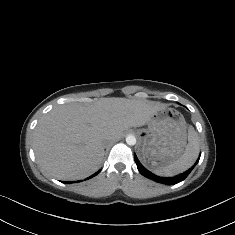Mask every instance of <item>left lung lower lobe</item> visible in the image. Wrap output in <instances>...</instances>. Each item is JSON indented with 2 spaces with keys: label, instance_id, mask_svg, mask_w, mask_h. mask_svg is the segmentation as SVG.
I'll return each mask as SVG.
<instances>
[{
  "label": "left lung lower lobe",
  "instance_id": "1",
  "mask_svg": "<svg viewBox=\"0 0 235 235\" xmlns=\"http://www.w3.org/2000/svg\"><path fill=\"white\" fill-rule=\"evenodd\" d=\"M199 158L197 159L196 163L190 169L185 171L184 173L179 174L175 177L164 178V177H159L155 174H152L150 171H148L146 168H144L143 165L139 162L137 156L134 155V159H135V162L137 164V168L143 176H145V177H147L151 180H154L158 183H163V184H166V185L177 184V183L183 181L190 174V172L193 170L195 165H197V163L199 161Z\"/></svg>",
  "mask_w": 235,
  "mask_h": 235
}]
</instances>
